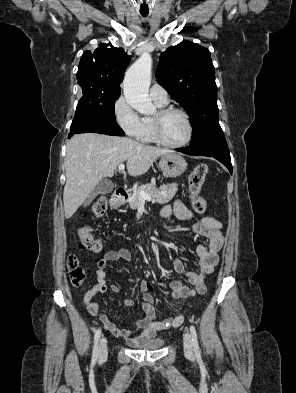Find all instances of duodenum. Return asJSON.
Returning <instances> with one entry per match:
<instances>
[{
  "instance_id": "1",
  "label": "duodenum",
  "mask_w": 296,
  "mask_h": 393,
  "mask_svg": "<svg viewBox=\"0 0 296 393\" xmlns=\"http://www.w3.org/2000/svg\"><path fill=\"white\" fill-rule=\"evenodd\" d=\"M128 198V192L123 187H118L112 198V205L117 206Z\"/></svg>"
}]
</instances>
